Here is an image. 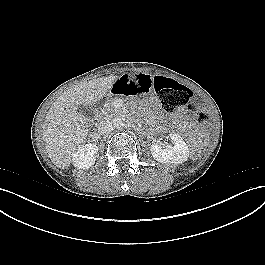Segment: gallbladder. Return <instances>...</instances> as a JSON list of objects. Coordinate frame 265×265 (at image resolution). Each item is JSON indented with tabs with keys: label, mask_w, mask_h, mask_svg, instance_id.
<instances>
[{
	"label": "gallbladder",
	"mask_w": 265,
	"mask_h": 265,
	"mask_svg": "<svg viewBox=\"0 0 265 265\" xmlns=\"http://www.w3.org/2000/svg\"><path fill=\"white\" fill-rule=\"evenodd\" d=\"M79 111L87 118L92 119L94 117V111L88 107L81 106Z\"/></svg>",
	"instance_id": "1"
}]
</instances>
